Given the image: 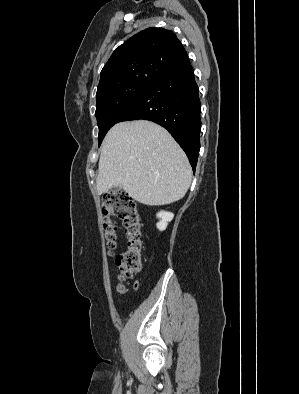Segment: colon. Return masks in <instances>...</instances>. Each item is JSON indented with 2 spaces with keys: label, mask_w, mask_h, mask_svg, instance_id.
<instances>
[{
  "label": "colon",
  "mask_w": 299,
  "mask_h": 394,
  "mask_svg": "<svg viewBox=\"0 0 299 394\" xmlns=\"http://www.w3.org/2000/svg\"><path fill=\"white\" fill-rule=\"evenodd\" d=\"M101 206L105 241L110 254L114 253L118 241V228L111 217H118L124 225L128 240L127 250L118 254L116 261L120 280L130 279L142 266V225L135 201L125 192L114 191L103 196ZM119 290L125 292V286L121 284Z\"/></svg>",
  "instance_id": "obj_1"
}]
</instances>
